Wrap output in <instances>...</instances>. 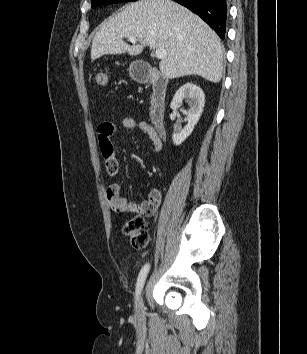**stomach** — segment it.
<instances>
[{
    "label": "stomach",
    "instance_id": "0dacf381",
    "mask_svg": "<svg viewBox=\"0 0 307 354\" xmlns=\"http://www.w3.org/2000/svg\"><path fill=\"white\" fill-rule=\"evenodd\" d=\"M130 74L134 77L136 76V71L134 69V64H131L130 69H129Z\"/></svg>",
    "mask_w": 307,
    "mask_h": 354
}]
</instances>
